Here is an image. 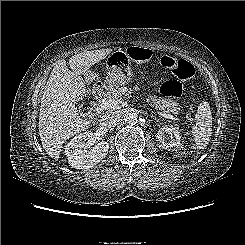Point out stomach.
<instances>
[{
    "instance_id": "obj_1",
    "label": "stomach",
    "mask_w": 245,
    "mask_h": 245,
    "mask_svg": "<svg viewBox=\"0 0 245 245\" xmlns=\"http://www.w3.org/2000/svg\"><path fill=\"white\" fill-rule=\"evenodd\" d=\"M130 58L125 51L117 50L111 53L106 60L108 75L104 82L106 88L110 91L119 86L128 84L132 79V69ZM88 80L95 79L96 75L91 71L85 73Z\"/></svg>"
}]
</instances>
